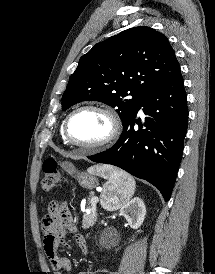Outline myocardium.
<instances>
[{
	"mask_svg": "<svg viewBox=\"0 0 215 274\" xmlns=\"http://www.w3.org/2000/svg\"><path fill=\"white\" fill-rule=\"evenodd\" d=\"M85 110H93V111L100 112L103 115H105L109 121L110 130L108 135L98 142L91 143V144H83L75 141L70 135L69 125L72 118L77 113ZM120 132H121V121L117 113L113 109L104 105H99V104H86V105L77 107L76 109H74L68 114V116L66 117L63 123V134L66 141L75 147L86 149V150H100L109 146L119 137Z\"/></svg>",
	"mask_w": 215,
	"mask_h": 274,
	"instance_id": "obj_1",
	"label": "myocardium"
}]
</instances>
